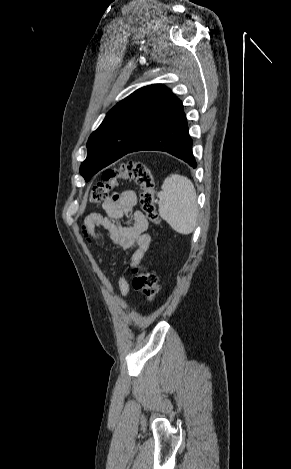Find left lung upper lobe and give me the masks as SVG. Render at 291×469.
<instances>
[{
	"label": "left lung upper lobe",
	"mask_w": 291,
	"mask_h": 469,
	"mask_svg": "<svg viewBox=\"0 0 291 469\" xmlns=\"http://www.w3.org/2000/svg\"><path fill=\"white\" fill-rule=\"evenodd\" d=\"M181 103L161 84L142 87L120 101L90 135L88 155L80 167L81 175L89 181L163 123Z\"/></svg>",
	"instance_id": "1"
}]
</instances>
